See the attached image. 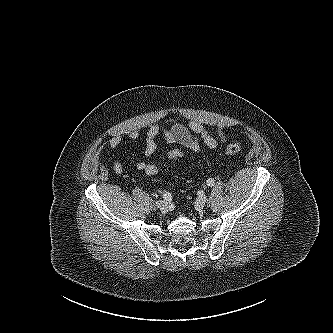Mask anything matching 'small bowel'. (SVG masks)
<instances>
[{
    "mask_svg": "<svg viewBox=\"0 0 333 333\" xmlns=\"http://www.w3.org/2000/svg\"><path fill=\"white\" fill-rule=\"evenodd\" d=\"M162 134L165 141L168 144H179L194 153H199L201 151V145L198 138H201L203 143L210 149H216L220 144H224L227 140L224 131L217 127L215 129V136L210 134L208 130L198 121H189L187 125L182 123H175L170 127H166L163 124L152 123L150 124L146 139H145V149L144 155L149 158L156 150V139ZM195 134V135H194ZM139 138L138 131H132L129 134V139L131 141H136ZM121 135H114L109 139L108 146L110 152L115 151L122 143ZM147 163L144 161H137L135 167L139 171H144ZM113 169L116 174H121L123 172V165L118 160H113Z\"/></svg>",
    "mask_w": 333,
    "mask_h": 333,
    "instance_id": "1",
    "label": "small bowel"
}]
</instances>
